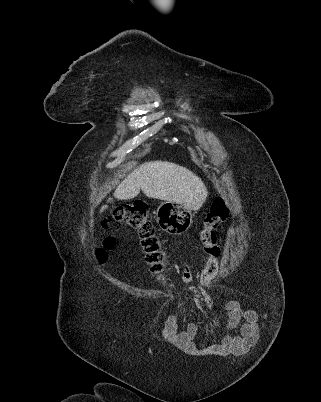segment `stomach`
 <instances>
[{
	"label": "stomach",
	"mask_w": 321,
	"mask_h": 402,
	"mask_svg": "<svg viewBox=\"0 0 321 402\" xmlns=\"http://www.w3.org/2000/svg\"><path fill=\"white\" fill-rule=\"evenodd\" d=\"M192 218V210L182 203L165 201L156 211V220L160 228L171 235L186 232L191 226Z\"/></svg>",
	"instance_id": "0dacf381"
}]
</instances>
